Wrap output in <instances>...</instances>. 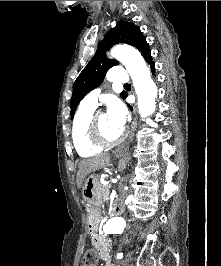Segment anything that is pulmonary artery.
<instances>
[{
    "label": "pulmonary artery",
    "instance_id": "pulmonary-artery-1",
    "mask_svg": "<svg viewBox=\"0 0 221 266\" xmlns=\"http://www.w3.org/2000/svg\"><path fill=\"white\" fill-rule=\"evenodd\" d=\"M108 79L110 81L126 83L128 81V75L125 69L120 66H113L110 73L108 74ZM101 92V88H96L89 92L81 101V105L89 108H96L98 103V96Z\"/></svg>",
    "mask_w": 221,
    "mask_h": 266
}]
</instances>
